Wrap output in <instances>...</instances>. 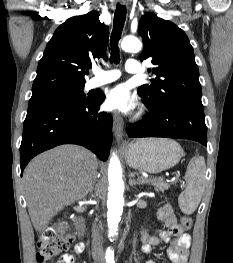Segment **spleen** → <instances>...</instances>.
I'll list each match as a JSON object with an SVG mask.
<instances>
[{
    "label": "spleen",
    "instance_id": "3e777b00",
    "mask_svg": "<svg viewBox=\"0 0 233 263\" xmlns=\"http://www.w3.org/2000/svg\"><path fill=\"white\" fill-rule=\"evenodd\" d=\"M205 159L202 156H194L186 170V188L180 194L178 203L181 211L192 214L198 207L205 183Z\"/></svg>",
    "mask_w": 233,
    "mask_h": 263
}]
</instances>
